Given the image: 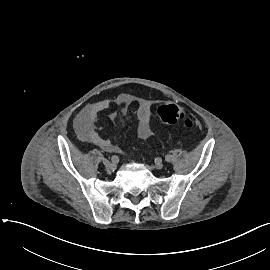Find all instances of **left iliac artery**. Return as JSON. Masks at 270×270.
I'll return each instance as SVG.
<instances>
[{"instance_id":"44dca946","label":"left iliac artery","mask_w":270,"mask_h":270,"mask_svg":"<svg viewBox=\"0 0 270 270\" xmlns=\"http://www.w3.org/2000/svg\"><path fill=\"white\" fill-rule=\"evenodd\" d=\"M165 160L167 162H174L175 158L172 155H166Z\"/></svg>"}]
</instances>
